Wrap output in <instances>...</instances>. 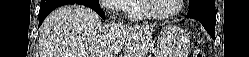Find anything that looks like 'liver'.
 I'll list each match as a JSON object with an SVG mask.
<instances>
[{"instance_id":"liver-1","label":"liver","mask_w":249,"mask_h":57,"mask_svg":"<svg viewBox=\"0 0 249 57\" xmlns=\"http://www.w3.org/2000/svg\"><path fill=\"white\" fill-rule=\"evenodd\" d=\"M153 26L102 24L99 15L80 5L54 10L40 28V57H146Z\"/></svg>"}]
</instances>
